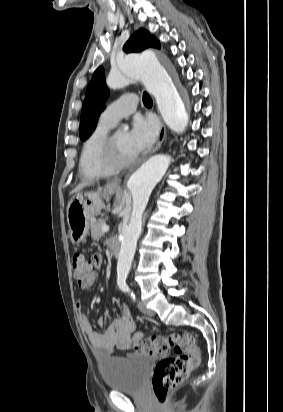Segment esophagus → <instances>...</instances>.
<instances>
[{"label":"esophagus","mask_w":283,"mask_h":412,"mask_svg":"<svg viewBox=\"0 0 283 412\" xmlns=\"http://www.w3.org/2000/svg\"><path fill=\"white\" fill-rule=\"evenodd\" d=\"M165 137H166V127H165V125L163 124V122H161V127H160L159 134H158V140H157V143H156V145H155V147L153 148V150H152L151 153H154V152H156L157 150L160 149V147H161V145H162ZM120 182H121V179H120V178H116V179L112 180L111 184H112V185H119Z\"/></svg>","instance_id":"1"}]
</instances>
